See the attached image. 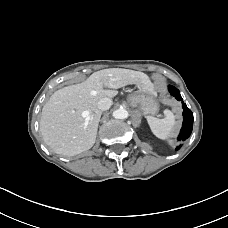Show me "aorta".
<instances>
[{
    "mask_svg": "<svg viewBox=\"0 0 228 228\" xmlns=\"http://www.w3.org/2000/svg\"><path fill=\"white\" fill-rule=\"evenodd\" d=\"M128 116V111L124 108H119L113 112V117L116 119H126Z\"/></svg>",
    "mask_w": 228,
    "mask_h": 228,
    "instance_id": "1",
    "label": "aorta"
}]
</instances>
